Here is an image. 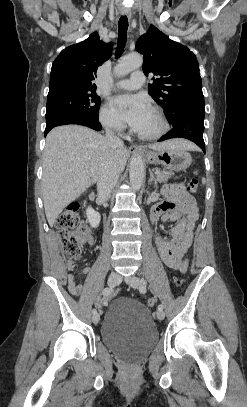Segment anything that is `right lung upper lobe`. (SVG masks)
Listing matches in <instances>:
<instances>
[{
	"mask_svg": "<svg viewBox=\"0 0 247 407\" xmlns=\"http://www.w3.org/2000/svg\"><path fill=\"white\" fill-rule=\"evenodd\" d=\"M112 43L106 45L98 33L61 51L52 64L49 92L59 89L96 90L93 80L97 68L111 54Z\"/></svg>",
	"mask_w": 247,
	"mask_h": 407,
	"instance_id": "obj_1",
	"label": "right lung upper lobe"
}]
</instances>
